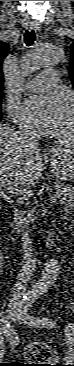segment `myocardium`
<instances>
[{"mask_svg": "<svg viewBox=\"0 0 74 366\" xmlns=\"http://www.w3.org/2000/svg\"><path fill=\"white\" fill-rule=\"evenodd\" d=\"M70 103V110H71V115H72V130L70 133H68L67 136H61L59 134L54 135L53 137L57 140L60 141L62 143H66V144H70L72 143V139L74 137V105L71 101H69Z\"/></svg>", "mask_w": 74, "mask_h": 366, "instance_id": "f54148a6", "label": "myocardium"}]
</instances>
